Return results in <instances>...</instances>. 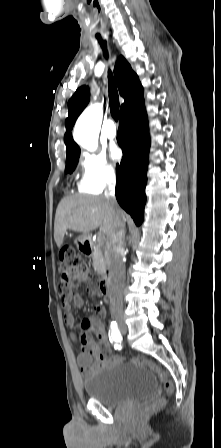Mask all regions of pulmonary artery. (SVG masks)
<instances>
[{
    "instance_id": "pulmonary-artery-1",
    "label": "pulmonary artery",
    "mask_w": 221,
    "mask_h": 448,
    "mask_svg": "<svg viewBox=\"0 0 221 448\" xmlns=\"http://www.w3.org/2000/svg\"><path fill=\"white\" fill-rule=\"evenodd\" d=\"M105 133L109 139H115L117 136V129L113 121L109 120L105 126Z\"/></svg>"
}]
</instances>
